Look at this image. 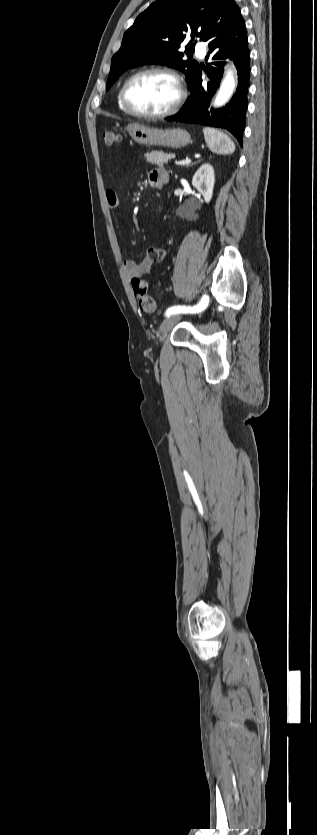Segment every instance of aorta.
I'll return each instance as SVG.
<instances>
[{
	"mask_svg": "<svg viewBox=\"0 0 317 835\" xmlns=\"http://www.w3.org/2000/svg\"><path fill=\"white\" fill-rule=\"evenodd\" d=\"M235 87L236 83L234 78V72L232 69H228L226 72V76L223 79L220 89L216 95L213 106L215 108H218L228 103V101L233 95Z\"/></svg>",
	"mask_w": 317,
	"mask_h": 835,
	"instance_id": "1",
	"label": "aorta"
}]
</instances>
